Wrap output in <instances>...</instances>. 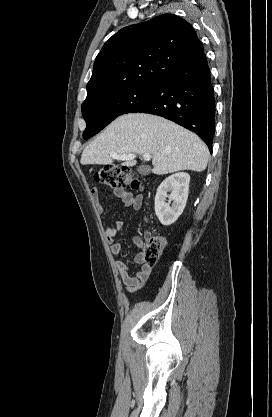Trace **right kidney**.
I'll use <instances>...</instances> for the list:
<instances>
[{"label": "right kidney", "mask_w": 272, "mask_h": 417, "mask_svg": "<svg viewBox=\"0 0 272 417\" xmlns=\"http://www.w3.org/2000/svg\"><path fill=\"white\" fill-rule=\"evenodd\" d=\"M190 176L179 172L167 177L158 187L155 196V214L164 226L173 224L182 214L189 191ZM171 192L170 195L167 193ZM166 198L173 201L172 206Z\"/></svg>", "instance_id": "ca27d5eb"}]
</instances>
